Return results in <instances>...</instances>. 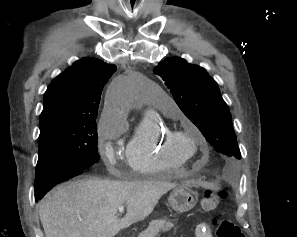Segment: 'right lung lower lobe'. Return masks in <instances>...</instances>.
I'll list each match as a JSON object with an SVG mask.
<instances>
[{
    "label": "right lung lower lobe",
    "instance_id": "right-lung-lower-lobe-1",
    "mask_svg": "<svg viewBox=\"0 0 297 237\" xmlns=\"http://www.w3.org/2000/svg\"><path fill=\"white\" fill-rule=\"evenodd\" d=\"M81 174L82 173L75 172V171L58 174L55 177L54 182L51 186H49L45 189H42V190L35 188V200L38 201L39 199H41L49 190H51L57 184H60V183H63V182L69 181V180H73Z\"/></svg>",
    "mask_w": 297,
    "mask_h": 237
}]
</instances>
